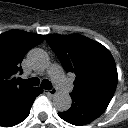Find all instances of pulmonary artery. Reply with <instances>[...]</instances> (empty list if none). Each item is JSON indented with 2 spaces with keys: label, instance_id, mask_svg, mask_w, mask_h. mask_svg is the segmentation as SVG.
<instances>
[{
  "label": "pulmonary artery",
  "instance_id": "1",
  "mask_svg": "<svg viewBox=\"0 0 128 128\" xmlns=\"http://www.w3.org/2000/svg\"><path fill=\"white\" fill-rule=\"evenodd\" d=\"M49 74L57 88L60 89L62 92L67 93L72 89L71 83L64 76L62 69L59 65H53L49 70Z\"/></svg>",
  "mask_w": 128,
  "mask_h": 128
}]
</instances>
